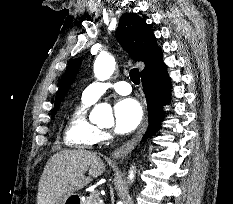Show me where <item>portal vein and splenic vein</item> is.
I'll use <instances>...</instances> for the list:
<instances>
[{
    "label": "portal vein and splenic vein",
    "instance_id": "1",
    "mask_svg": "<svg viewBox=\"0 0 233 204\" xmlns=\"http://www.w3.org/2000/svg\"><path fill=\"white\" fill-rule=\"evenodd\" d=\"M99 195H100L99 190H94V191L91 193V196H94V197H99Z\"/></svg>",
    "mask_w": 233,
    "mask_h": 204
}]
</instances>
